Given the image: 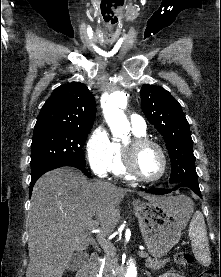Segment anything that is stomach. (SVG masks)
Segmentation results:
<instances>
[{
  "instance_id": "1",
  "label": "stomach",
  "mask_w": 221,
  "mask_h": 277,
  "mask_svg": "<svg viewBox=\"0 0 221 277\" xmlns=\"http://www.w3.org/2000/svg\"><path fill=\"white\" fill-rule=\"evenodd\" d=\"M168 204L133 200L139 227L149 253L160 258L178 243L191 214L192 203L185 198L166 199Z\"/></svg>"
}]
</instances>
